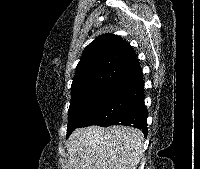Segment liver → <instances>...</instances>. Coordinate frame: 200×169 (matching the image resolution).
<instances>
[{
    "label": "liver",
    "mask_w": 200,
    "mask_h": 169,
    "mask_svg": "<svg viewBox=\"0 0 200 169\" xmlns=\"http://www.w3.org/2000/svg\"><path fill=\"white\" fill-rule=\"evenodd\" d=\"M143 141L142 131L133 127L78 128L67 141V169H136Z\"/></svg>",
    "instance_id": "obj_1"
}]
</instances>
